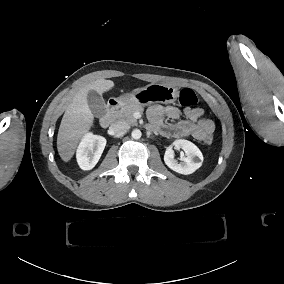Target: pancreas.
<instances>
[{
    "label": "pancreas",
    "instance_id": "pancreas-1",
    "mask_svg": "<svg viewBox=\"0 0 284 284\" xmlns=\"http://www.w3.org/2000/svg\"><path fill=\"white\" fill-rule=\"evenodd\" d=\"M144 108L141 105H125L120 110L112 112L115 120L124 121L131 126H137V120L133 117L135 112L142 113Z\"/></svg>",
    "mask_w": 284,
    "mask_h": 284
}]
</instances>
